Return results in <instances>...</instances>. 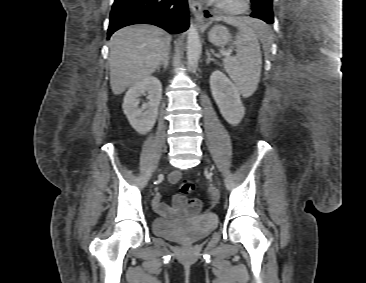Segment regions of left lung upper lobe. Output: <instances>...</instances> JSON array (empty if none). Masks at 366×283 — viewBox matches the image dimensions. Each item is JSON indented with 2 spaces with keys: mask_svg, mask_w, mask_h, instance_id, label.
Instances as JSON below:
<instances>
[{
  "mask_svg": "<svg viewBox=\"0 0 366 283\" xmlns=\"http://www.w3.org/2000/svg\"><path fill=\"white\" fill-rule=\"evenodd\" d=\"M253 5L252 14L256 15L257 18L265 21L266 23L272 24L273 18V0H250Z\"/></svg>",
  "mask_w": 366,
  "mask_h": 283,
  "instance_id": "5c2ea615",
  "label": "left lung upper lobe"
}]
</instances>
